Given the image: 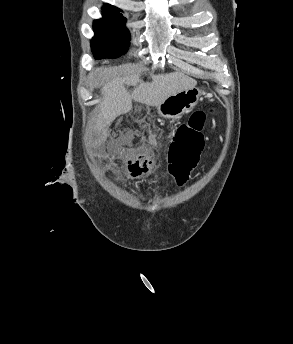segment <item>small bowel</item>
<instances>
[{
	"label": "small bowel",
	"mask_w": 293,
	"mask_h": 344,
	"mask_svg": "<svg viewBox=\"0 0 293 344\" xmlns=\"http://www.w3.org/2000/svg\"><path fill=\"white\" fill-rule=\"evenodd\" d=\"M142 138L148 143L149 146L153 148L159 147L160 142L156 134L149 132L144 134Z\"/></svg>",
	"instance_id": "small-bowel-1"
}]
</instances>
